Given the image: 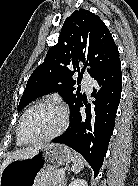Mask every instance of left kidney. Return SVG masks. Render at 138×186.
<instances>
[{
	"mask_svg": "<svg viewBox=\"0 0 138 186\" xmlns=\"http://www.w3.org/2000/svg\"><path fill=\"white\" fill-rule=\"evenodd\" d=\"M69 186H88V184L84 179H75L69 184Z\"/></svg>",
	"mask_w": 138,
	"mask_h": 186,
	"instance_id": "5707ae66",
	"label": "left kidney"
}]
</instances>
